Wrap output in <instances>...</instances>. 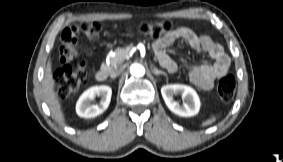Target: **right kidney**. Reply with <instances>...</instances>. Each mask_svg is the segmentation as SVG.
I'll return each instance as SVG.
<instances>
[{"label":"right kidney","mask_w":283,"mask_h":162,"mask_svg":"<svg viewBox=\"0 0 283 162\" xmlns=\"http://www.w3.org/2000/svg\"><path fill=\"white\" fill-rule=\"evenodd\" d=\"M112 89L109 86H93L87 89L78 99L76 113L83 118H94L102 114L109 106ZM96 96L101 98L99 104H92Z\"/></svg>","instance_id":"1"}]
</instances>
